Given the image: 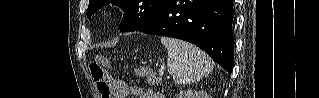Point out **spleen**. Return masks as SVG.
<instances>
[{
    "label": "spleen",
    "mask_w": 319,
    "mask_h": 98,
    "mask_svg": "<svg viewBox=\"0 0 319 98\" xmlns=\"http://www.w3.org/2000/svg\"><path fill=\"white\" fill-rule=\"evenodd\" d=\"M167 48V67L177 84H191L200 81L213 70V62L198 47L173 38H161Z\"/></svg>",
    "instance_id": "obj_1"
}]
</instances>
